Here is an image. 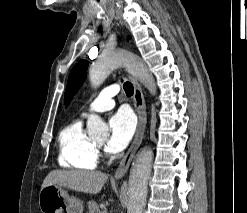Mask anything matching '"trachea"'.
Here are the masks:
<instances>
[{"mask_svg": "<svg viewBox=\"0 0 247 213\" xmlns=\"http://www.w3.org/2000/svg\"><path fill=\"white\" fill-rule=\"evenodd\" d=\"M124 91L127 96H131L134 93V87L130 82H124L123 84Z\"/></svg>", "mask_w": 247, "mask_h": 213, "instance_id": "obj_1", "label": "trachea"}]
</instances>
